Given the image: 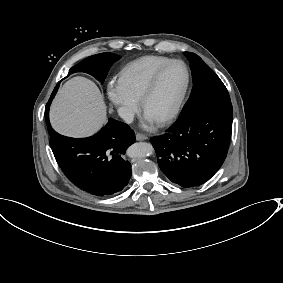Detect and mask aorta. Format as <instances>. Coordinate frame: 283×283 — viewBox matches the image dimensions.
<instances>
[{
  "label": "aorta",
  "mask_w": 283,
  "mask_h": 283,
  "mask_svg": "<svg viewBox=\"0 0 283 283\" xmlns=\"http://www.w3.org/2000/svg\"><path fill=\"white\" fill-rule=\"evenodd\" d=\"M154 152L152 144L138 142L131 145L127 150V155L131 158H143L150 156Z\"/></svg>",
  "instance_id": "762f6f07"
}]
</instances>
